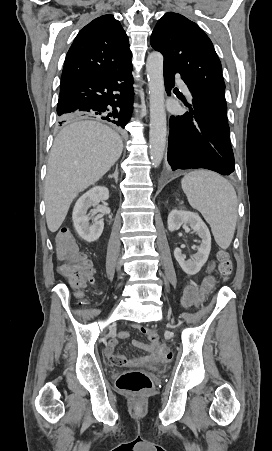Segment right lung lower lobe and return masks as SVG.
Listing matches in <instances>:
<instances>
[{
  "label": "right lung lower lobe",
  "mask_w": 272,
  "mask_h": 451,
  "mask_svg": "<svg viewBox=\"0 0 272 451\" xmlns=\"http://www.w3.org/2000/svg\"><path fill=\"white\" fill-rule=\"evenodd\" d=\"M131 60L100 76L61 86L58 123L96 118L124 129L133 111Z\"/></svg>",
  "instance_id": "right-lung-lower-lobe-1"
}]
</instances>
